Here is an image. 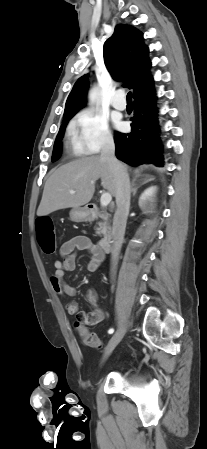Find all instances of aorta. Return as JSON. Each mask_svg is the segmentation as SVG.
<instances>
[{
    "mask_svg": "<svg viewBox=\"0 0 207 449\" xmlns=\"http://www.w3.org/2000/svg\"><path fill=\"white\" fill-rule=\"evenodd\" d=\"M96 98H97V92H96V89L93 88V89L90 90V93H89V101H90V103H93L96 100Z\"/></svg>",
    "mask_w": 207,
    "mask_h": 449,
    "instance_id": "762f6f07",
    "label": "aorta"
}]
</instances>
